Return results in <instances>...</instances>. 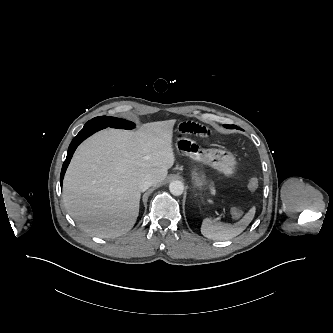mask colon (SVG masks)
I'll list each match as a JSON object with an SVG mask.
<instances>
[{"label":"colon","mask_w":333,"mask_h":333,"mask_svg":"<svg viewBox=\"0 0 333 333\" xmlns=\"http://www.w3.org/2000/svg\"><path fill=\"white\" fill-rule=\"evenodd\" d=\"M247 188H248L249 191H252V192L256 191L257 188H258L257 179H255V178L249 179L248 182H247ZM230 213H231V217L233 219H239L243 214V210L240 207L235 206L231 209Z\"/></svg>","instance_id":"5ec220e1"}]
</instances>
